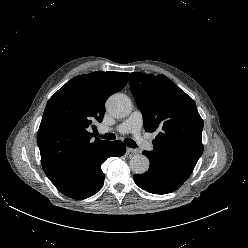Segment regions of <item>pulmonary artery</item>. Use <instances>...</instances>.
<instances>
[{"instance_id":"e3ab8cb5","label":"pulmonary artery","mask_w":248,"mask_h":248,"mask_svg":"<svg viewBox=\"0 0 248 248\" xmlns=\"http://www.w3.org/2000/svg\"><path fill=\"white\" fill-rule=\"evenodd\" d=\"M143 117L140 111H134L124 122L117 126L116 130L120 133H132L137 141L144 147H149V143L141 136ZM109 130L106 126H100L99 131L105 133Z\"/></svg>"}]
</instances>
